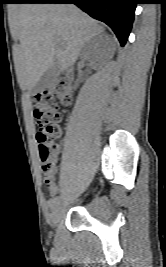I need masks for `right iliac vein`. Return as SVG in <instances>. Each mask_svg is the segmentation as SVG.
Segmentation results:
<instances>
[{"mask_svg": "<svg viewBox=\"0 0 166 267\" xmlns=\"http://www.w3.org/2000/svg\"><path fill=\"white\" fill-rule=\"evenodd\" d=\"M63 215H64V208L60 205H57L51 217L53 224H57L61 220Z\"/></svg>", "mask_w": 166, "mask_h": 267, "instance_id": "1", "label": "right iliac vein"}]
</instances>
